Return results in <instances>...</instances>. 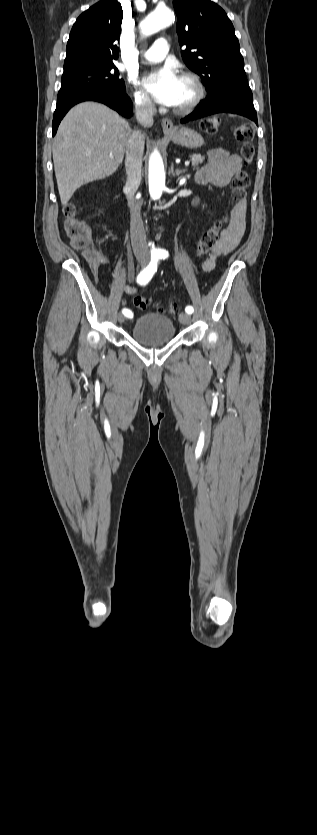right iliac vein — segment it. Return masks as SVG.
<instances>
[{
	"mask_svg": "<svg viewBox=\"0 0 317 835\" xmlns=\"http://www.w3.org/2000/svg\"><path fill=\"white\" fill-rule=\"evenodd\" d=\"M140 262H141V265H142V266H145V265H146V263H147L145 259H141V260H140ZM117 318H118V321H119L120 323H122V322H124V321H125V315H123V313H119V314H118V316H117Z\"/></svg>",
	"mask_w": 317,
	"mask_h": 835,
	"instance_id": "63e3f726",
	"label": "right iliac vein"
}]
</instances>
